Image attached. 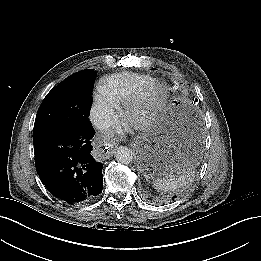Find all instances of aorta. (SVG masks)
Segmentation results:
<instances>
[{
	"instance_id": "obj_1",
	"label": "aorta",
	"mask_w": 261,
	"mask_h": 261,
	"mask_svg": "<svg viewBox=\"0 0 261 261\" xmlns=\"http://www.w3.org/2000/svg\"><path fill=\"white\" fill-rule=\"evenodd\" d=\"M134 153L126 146H120L115 152V159L123 164H130L133 160Z\"/></svg>"
}]
</instances>
